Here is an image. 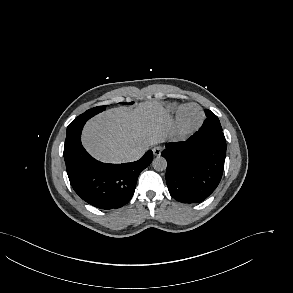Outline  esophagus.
Wrapping results in <instances>:
<instances>
[{"instance_id":"esophagus-1","label":"esophagus","mask_w":293,"mask_h":293,"mask_svg":"<svg viewBox=\"0 0 293 293\" xmlns=\"http://www.w3.org/2000/svg\"><path fill=\"white\" fill-rule=\"evenodd\" d=\"M162 150H163V147L160 146V145L159 146H155V147L152 148L153 154L155 156H160Z\"/></svg>"}]
</instances>
